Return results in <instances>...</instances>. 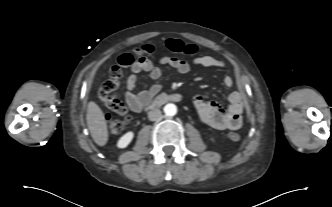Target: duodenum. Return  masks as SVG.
Wrapping results in <instances>:
<instances>
[{
	"label": "duodenum",
	"instance_id": "duodenum-1",
	"mask_svg": "<svg viewBox=\"0 0 332 207\" xmlns=\"http://www.w3.org/2000/svg\"><path fill=\"white\" fill-rule=\"evenodd\" d=\"M181 96L178 94L169 95V94H161L157 96L154 101L152 102L151 106H161L169 101H179Z\"/></svg>",
	"mask_w": 332,
	"mask_h": 207
}]
</instances>
